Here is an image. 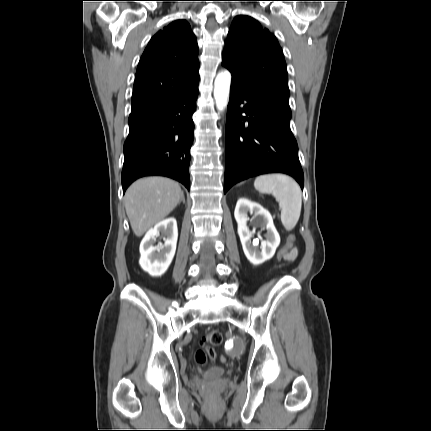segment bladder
<instances>
[{
	"label": "bladder",
	"instance_id": "bladder-1",
	"mask_svg": "<svg viewBox=\"0 0 431 431\" xmlns=\"http://www.w3.org/2000/svg\"><path fill=\"white\" fill-rule=\"evenodd\" d=\"M228 374V369L221 366H211L205 373L207 378H219Z\"/></svg>",
	"mask_w": 431,
	"mask_h": 431
}]
</instances>
